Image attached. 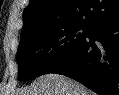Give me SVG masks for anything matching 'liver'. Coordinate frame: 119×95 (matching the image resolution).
<instances>
[{"label":"liver","instance_id":"obj_1","mask_svg":"<svg viewBox=\"0 0 119 95\" xmlns=\"http://www.w3.org/2000/svg\"><path fill=\"white\" fill-rule=\"evenodd\" d=\"M16 95H95L82 84L59 74H45Z\"/></svg>","mask_w":119,"mask_h":95}]
</instances>
